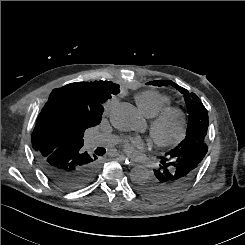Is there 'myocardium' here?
I'll list each match as a JSON object with an SVG mask.
<instances>
[{
  "instance_id": "obj_1",
  "label": "myocardium",
  "mask_w": 245,
  "mask_h": 245,
  "mask_svg": "<svg viewBox=\"0 0 245 245\" xmlns=\"http://www.w3.org/2000/svg\"><path fill=\"white\" fill-rule=\"evenodd\" d=\"M170 119H175L178 123L177 133L170 138L162 136L161 129ZM188 119L186 112L178 106H168L158 115L152 118L149 123V134L154 143L159 147H173L180 144L187 133Z\"/></svg>"
}]
</instances>
